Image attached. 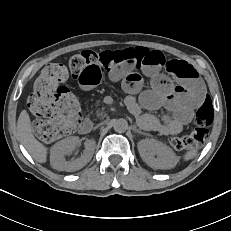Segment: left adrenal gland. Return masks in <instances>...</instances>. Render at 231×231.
<instances>
[{
	"label": "left adrenal gland",
	"instance_id": "1",
	"mask_svg": "<svg viewBox=\"0 0 231 231\" xmlns=\"http://www.w3.org/2000/svg\"><path fill=\"white\" fill-rule=\"evenodd\" d=\"M134 131L139 133V134H142V135H148L147 133L142 132L141 130L137 129L136 127H134Z\"/></svg>",
	"mask_w": 231,
	"mask_h": 231
}]
</instances>
